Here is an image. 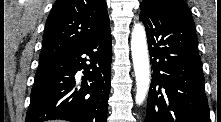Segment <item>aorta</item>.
<instances>
[{"label": "aorta", "instance_id": "obj_1", "mask_svg": "<svg viewBox=\"0 0 221 122\" xmlns=\"http://www.w3.org/2000/svg\"><path fill=\"white\" fill-rule=\"evenodd\" d=\"M131 54L136 78V97L138 105L145 100L150 85V63L145 29L135 24L131 35Z\"/></svg>", "mask_w": 221, "mask_h": 122}]
</instances>
